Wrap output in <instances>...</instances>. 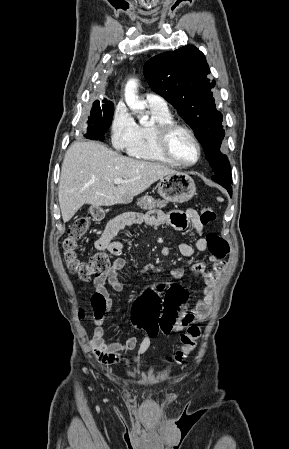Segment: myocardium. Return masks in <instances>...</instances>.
<instances>
[{
    "instance_id": "myocardium-1",
    "label": "myocardium",
    "mask_w": 289,
    "mask_h": 449,
    "mask_svg": "<svg viewBox=\"0 0 289 449\" xmlns=\"http://www.w3.org/2000/svg\"><path fill=\"white\" fill-rule=\"evenodd\" d=\"M178 131H182V132L186 133L191 138V140L194 142V144L196 145L197 152H198L197 158L195 161H193L191 163H186V162L180 161L179 159H177L175 157V155L172 152L171 139H172V136ZM155 132H156L157 144H158V147H159L161 153L175 165H178L181 167H191V166L196 165L201 160V157H202L201 143H200L199 139L197 138V136L195 135V133L187 126L173 121V122H168V123H163V124L157 125L155 128Z\"/></svg>"
}]
</instances>
